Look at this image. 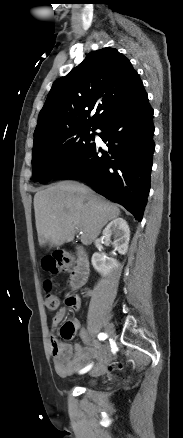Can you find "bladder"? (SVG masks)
Instances as JSON below:
<instances>
[{"instance_id":"bladder-1","label":"bladder","mask_w":183,"mask_h":438,"mask_svg":"<svg viewBox=\"0 0 183 438\" xmlns=\"http://www.w3.org/2000/svg\"><path fill=\"white\" fill-rule=\"evenodd\" d=\"M95 382V380L94 379H91L90 381H89V384H92V383H94Z\"/></svg>"}]
</instances>
